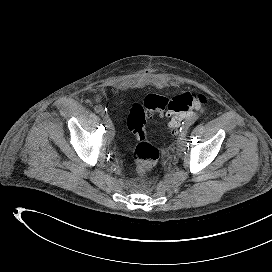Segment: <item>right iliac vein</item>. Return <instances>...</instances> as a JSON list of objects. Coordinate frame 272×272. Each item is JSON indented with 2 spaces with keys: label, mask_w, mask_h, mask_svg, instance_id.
Listing matches in <instances>:
<instances>
[{
  "label": "right iliac vein",
  "mask_w": 272,
  "mask_h": 272,
  "mask_svg": "<svg viewBox=\"0 0 272 272\" xmlns=\"http://www.w3.org/2000/svg\"><path fill=\"white\" fill-rule=\"evenodd\" d=\"M104 123L107 128V135L111 138L114 137L115 129H114V126H113V123H112L110 117L107 114L104 116Z\"/></svg>",
  "instance_id": "obj_1"
}]
</instances>
